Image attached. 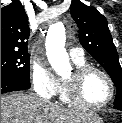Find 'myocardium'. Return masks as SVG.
Here are the masks:
<instances>
[{
    "label": "myocardium",
    "mask_w": 122,
    "mask_h": 123,
    "mask_svg": "<svg viewBox=\"0 0 122 123\" xmlns=\"http://www.w3.org/2000/svg\"><path fill=\"white\" fill-rule=\"evenodd\" d=\"M93 72L102 75L106 79L110 87V95L108 99L101 103L89 102L82 95L83 83L86 77ZM65 89L66 95L72 103L88 108L104 107L113 100L115 95V85L110 75L104 70L89 64L81 67H76V69L72 72V74L65 79Z\"/></svg>",
    "instance_id": "myocardium-1"
}]
</instances>
